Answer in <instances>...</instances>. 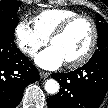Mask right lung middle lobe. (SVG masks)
Listing matches in <instances>:
<instances>
[{
    "instance_id": "dd1d6c3e",
    "label": "right lung middle lobe",
    "mask_w": 108,
    "mask_h": 108,
    "mask_svg": "<svg viewBox=\"0 0 108 108\" xmlns=\"http://www.w3.org/2000/svg\"><path fill=\"white\" fill-rule=\"evenodd\" d=\"M21 5L19 1L3 0L0 2V35L14 41V31L19 18L17 11Z\"/></svg>"
}]
</instances>
